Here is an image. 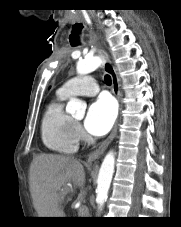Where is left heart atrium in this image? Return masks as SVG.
I'll use <instances>...</instances> for the list:
<instances>
[{
  "instance_id": "39dd6f15",
  "label": "left heart atrium",
  "mask_w": 181,
  "mask_h": 227,
  "mask_svg": "<svg viewBox=\"0 0 181 227\" xmlns=\"http://www.w3.org/2000/svg\"><path fill=\"white\" fill-rule=\"evenodd\" d=\"M116 118V106L112 99L100 97L88 109L85 119L86 130L95 136L106 134Z\"/></svg>"
}]
</instances>
